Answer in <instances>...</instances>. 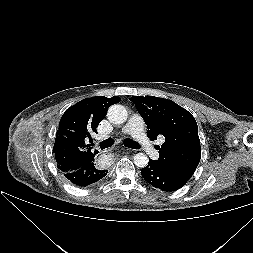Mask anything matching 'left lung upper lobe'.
<instances>
[{
    "mask_svg": "<svg viewBox=\"0 0 253 253\" xmlns=\"http://www.w3.org/2000/svg\"><path fill=\"white\" fill-rule=\"evenodd\" d=\"M130 100L148 126V138L165 137V142L158 146L159 159L156 161L187 182L201 157L198 127L192 114L164 98L133 96Z\"/></svg>",
    "mask_w": 253,
    "mask_h": 253,
    "instance_id": "obj_1",
    "label": "left lung upper lobe"
}]
</instances>
